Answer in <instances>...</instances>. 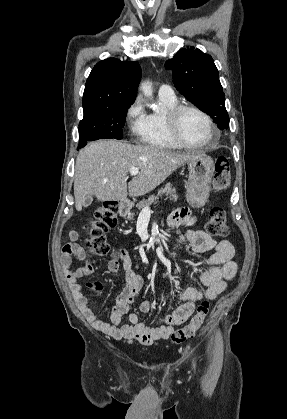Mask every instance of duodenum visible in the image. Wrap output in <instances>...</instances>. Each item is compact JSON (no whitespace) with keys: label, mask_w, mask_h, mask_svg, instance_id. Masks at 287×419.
I'll list each match as a JSON object with an SVG mask.
<instances>
[{"label":"duodenum","mask_w":287,"mask_h":419,"mask_svg":"<svg viewBox=\"0 0 287 419\" xmlns=\"http://www.w3.org/2000/svg\"><path fill=\"white\" fill-rule=\"evenodd\" d=\"M123 213L126 212L128 203L126 201H122L121 203Z\"/></svg>","instance_id":"obj_1"}]
</instances>
